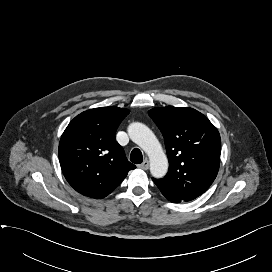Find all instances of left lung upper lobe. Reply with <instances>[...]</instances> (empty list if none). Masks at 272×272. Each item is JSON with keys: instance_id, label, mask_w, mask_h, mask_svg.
Returning a JSON list of instances; mask_svg holds the SVG:
<instances>
[{"instance_id": "left-lung-upper-lobe-1", "label": "left lung upper lobe", "mask_w": 272, "mask_h": 272, "mask_svg": "<svg viewBox=\"0 0 272 272\" xmlns=\"http://www.w3.org/2000/svg\"><path fill=\"white\" fill-rule=\"evenodd\" d=\"M149 116L163 134L169 171L154 179L171 202L197 198L213 183L220 165L221 139L216 127L193 108L151 109Z\"/></svg>"}]
</instances>
